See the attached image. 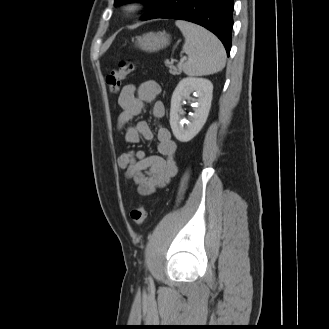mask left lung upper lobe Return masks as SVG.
Segmentation results:
<instances>
[{"mask_svg": "<svg viewBox=\"0 0 329 329\" xmlns=\"http://www.w3.org/2000/svg\"><path fill=\"white\" fill-rule=\"evenodd\" d=\"M129 1H132V0H115L114 5L118 6L121 4H125ZM141 1L144 2L145 4H147L148 6H152L156 0H141Z\"/></svg>", "mask_w": 329, "mask_h": 329, "instance_id": "5c2ea615", "label": "left lung upper lobe"}]
</instances>
